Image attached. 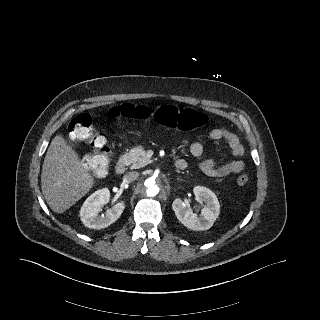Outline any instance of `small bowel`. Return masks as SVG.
Returning a JSON list of instances; mask_svg holds the SVG:
<instances>
[{
	"label": "small bowel",
	"mask_w": 320,
	"mask_h": 320,
	"mask_svg": "<svg viewBox=\"0 0 320 320\" xmlns=\"http://www.w3.org/2000/svg\"><path fill=\"white\" fill-rule=\"evenodd\" d=\"M209 137L215 141L224 140L236 158L223 165H218L214 159H207L200 164V169L206 175L214 178L241 172L245 167V163L241 159L244 154V147L238 136L223 127H218L211 130ZM189 150L193 156L199 157L202 155L204 148L200 142L194 141L189 144Z\"/></svg>",
	"instance_id": "1"
}]
</instances>
